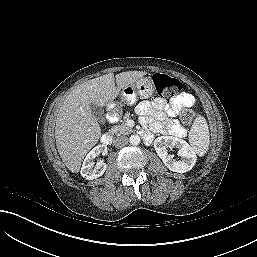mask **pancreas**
<instances>
[{
    "mask_svg": "<svg viewBox=\"0 0 257 257\" xmlns=\"http://www.w3.org/2000/svg\"><path fill=\"white\" fill-rule=\"evenodd\" d=\"M110 132L116 135H128L132 133L133 130L126 124V122H122L120 125L112 127Z\"/></svg>",
    "mask_w": 257,
    "mask_h": 257,
    "instance_id": "pancreas-1",
    "label": "pancreas"
}]
</instances>
